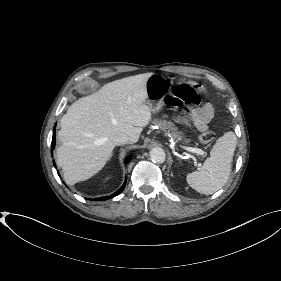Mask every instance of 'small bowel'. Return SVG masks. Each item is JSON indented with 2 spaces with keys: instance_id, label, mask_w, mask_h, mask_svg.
Wrapping results in <instances>:
<instances>
[{
  "instance_id": "c3829d8e",
  "label": "small bowel",
  "mask_w": 281,
  "mask_h": 281,
  "mask_svg": "<svg viewBox=\"0 0 281 281\" xmlns=\"http://www.w3.org/2000/svg\"><path fill=\"white\" fill-rule=\"evenodd\" d=\"M213 114V108L209 104L194 109L192 111V118L196 127L201 131L205 130L213 118Z\"/></svg>"
}]
</instances>
